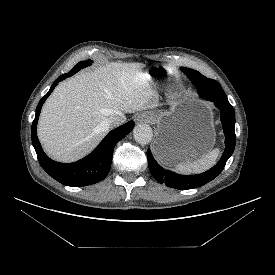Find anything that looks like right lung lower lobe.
I'll return each instance as SVG.
<instances>
[{
    "mask_svg": "<svg viewBox=\"0 0 275 275\" xmlns=\"http://www.w3.org/2000/svg\"><path fill=\"white\" fill-rule=\"evenodd\" d=\"M75 73L76 72L61 75L54 81L48 93L41 98L36 108L35 119L32 123L31 136L34 149L42 168L51 177L64 185L82 187L97 183L107 176L111 167L112 154L115 145L133 129L135 123L134 121H129L126 124L110 131L92 153L77 162L65 164L51 160L43 152L37 138V121L43 103L54 90L58 82L72 76Z\"/></svg>",
    "mask_w": 275,
    "mask_h": 275,
    "instance_id": "98d812e1",
    "label": "right lung lower lobe"
}]
</instances>
